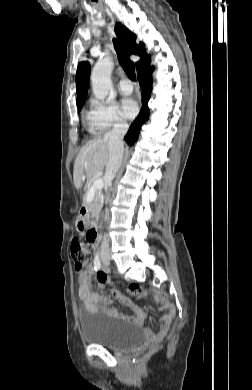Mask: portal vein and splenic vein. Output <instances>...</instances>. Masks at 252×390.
I'll return each instance as SVG.
<instances>
[{
    "mask_svg": "<svg viewBox=\"0 0 252 390\" xmlns=\"http://www.w3.org/2000/svg\"><path fill=\"white\" fill-rule=\"evenodd\" d=\"M103 188V180L101 178L99 179H96L94 182H93V185L91 186V188L89 189L88 191V194H87V201L89 200V198L91 196L94 195V193L96 192V190H99V189H102Z\"/></svg>",
    "mask_w": 252,
    "mask_h": 390,
    "instance_id": "18ae733b",
    "label": "portal vein and splenic vein"
}]
</instances>
